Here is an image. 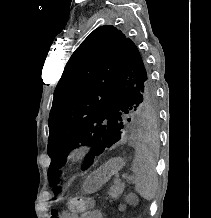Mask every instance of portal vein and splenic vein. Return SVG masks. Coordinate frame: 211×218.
<instances>
[{"label": "portal vein and splenic vein", "instance_id": "1", "mask_svg": "<svg viewBox=\"0 0 211 218\" xmlns=\"http://www.w3.org/2000/svg\"><path fill=\"white\" fill-rule=\"evenodd\" d=\"M122 178H127V174H123Z\"/></svg>", "mask_w": 211, "mask_h": 218}]
</instances>
